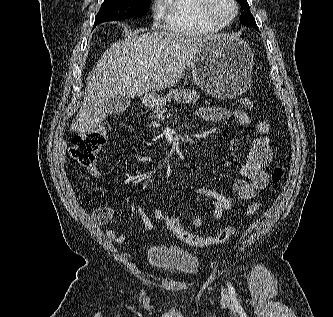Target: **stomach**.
<instances>
[{
    "label": "stomach",
    "instance_id": "stomach-1",
    "mask_svg": "<svg viewBox=\"0 0 333 317\" xmlns=\"http://www.w3.org/2000/svg\"><path fill=\"white\" fill-rule=\"evenodd\" d=\"M253 58L249 45L233 35L208 39L190 63L195 83L207 94L228 99L243 94L252 83ZM159 98L149 94L144 103L153 107Z\"/></svg>",
    "mask_w": 333,
    "mask_h": 317
}]
</instances>
